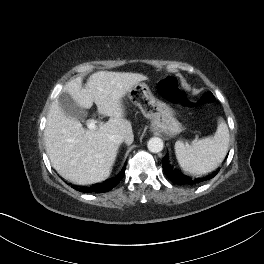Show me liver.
Returning <instances> with one entry per match:
<instances>
[{
	"label": "liver",
	"instance_id": "liver-1",
	"mask_svg": "<svg viewBox=\"0 0 264 264\" xmlns=\"http://www.w3.org/2000/svg\"><path fill=\"white\" fill-rule=\"evenodd\" d=\"M148 78L138 73L99 71L93 73L82 87L77 77L63 87L84 109L93 103L99 114L109 120L95 129L85 130L75 118L67 117L58 99L50 108L44 130L45 146L52 166L64 179L79 185L92 184L108 178L115 162L119 144L110 141L111 135L133 142L130 121L124 118L122 98L131 88Z\"/></svg>",
	"mask_w": 264,
	"mask_h": 264
}]
</instances>
